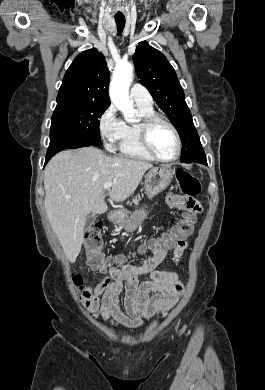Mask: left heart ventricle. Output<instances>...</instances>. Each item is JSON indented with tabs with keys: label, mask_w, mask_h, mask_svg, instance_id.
Masks as SVG:
<instances>
[{
	"label": "left heart ventricle",
	"mask_w": 265,
	"mask_h": 390,
	"mask_svg": "<svg viewBox=\"0 0 265 390\" xmlns=\"http://www.w3.org/2000/svg\"><path fill=\"white\" fill-rule=\"evenodd\" d=\"M150 142L156 153L162 158H172L176 152V139L171 129L163 124L156 123L150 132Z\"/></svg>",
	"instance_id": "left-heart-ventricle-1"
}]
</instances>
